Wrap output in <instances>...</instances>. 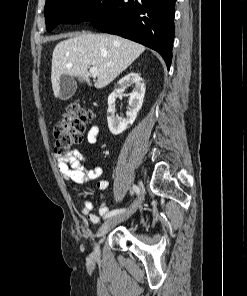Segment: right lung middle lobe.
Instances as JSON below:
<instances>
[{"label":"right lung middle lobe","mask_w":247,"mask_h":296,"mask_svg":"<svg viewBox=\"0 0 247 296\" xmlns=\"http://www.w3.org/2000/svg\"><path fill=\"white\" fill-rule=\"evenodd\" d=\"M109 0H47L44 8L47 31L60 23L76 24L89 21L103 12Z\"/></svg>","instance_id":"obj_1"}]
</instances>
